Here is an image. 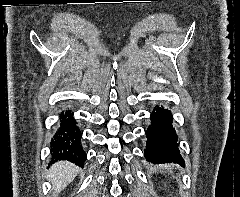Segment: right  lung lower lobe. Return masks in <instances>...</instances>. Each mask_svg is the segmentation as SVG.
Here are the masks:
<instances>
[{
	"label": "right lung lower lobe",
	"instance_id": "98d812e1",
	"mask_svg": "<svg viewBox=\"0 0 240 197\" xmlns=\"http://www.w3.org/2000/svg\"><path fill=\"white\" fill-rule=\"evenodd\" d=\"M81 138L82 133L73 115L69 111H63L59 126L50 143L52 161L68 160L83 167L87 155L82 148Z\"/></svg>",
	"mask_w": 240,
	"mask_h": 197
}]
</instances>
